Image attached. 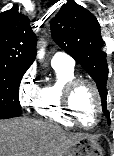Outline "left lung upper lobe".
<instances>
[{"instance_id":"obj_1","label":"left lung upper lobe","mask_w":114,"mask_h":156,"mask_svg":"<svg viewBox=\"0 0 114 156\" xmlns=\"http://www.w3.org/2000/svg\"><path fill=\"white\" fill-rule=\"evenodd\" d=\"M51 33L54 41L97 83L103 112L110 124L106 109L108 65L106 54L102 51L103 40L97 19L88 10L69 0L51 20Z\"/></svg>"}]
</instances>
